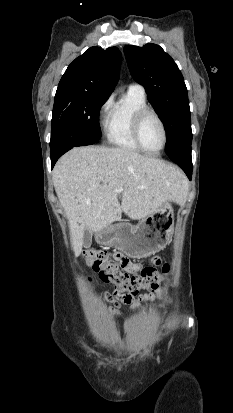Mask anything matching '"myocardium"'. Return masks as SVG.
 Returning a JSON list of instances; mask_svg holds the SVG:
<instances>
[{"label":"myocardium","instance_id":"myocardium-1","mask_svg":"<svg viewBox=\"0 0 233 413\" xmlns=\"http://www.w3.org/2000/svg\"><path fill=\"white\" fill-rule=\"evenodd\" d=\"M149 115H152L156 118V120L160 124L162 135H163V140H162V144L160 148L154 151L147 149L141 140V127H142L144 119ZM132 136H133L135 143L139 147V149L151 155H157L161 153L167 144V129H166L165 123L163 119L161 118V116L154 109L150 107H144L136 112L133 118V122H132Z\"/></svg>","mask_w":233,"mask_h":413}]
</instances>
